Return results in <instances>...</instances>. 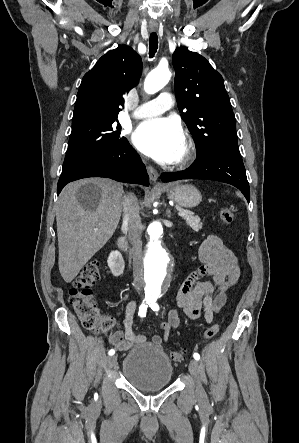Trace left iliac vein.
Instances as JSON below:
<instances>
[{
  "label": "left iliac vein",
  "mask_w": 299,
  "mask_h": 443,
  "mask_svg": "<svg viewBox=\"0 0 299 443\" xmlns=\"http://www.w3.org/2000/svg\"><path fill=\"white\" fill-rule=\"evenodd\" d=\"M189 371L196 381V388H197L198 393L203 395L204 390H203L201 382H200V368H199V364H198L197 360H195V359L190 360Z\"/></svg>",
  "instance_id": "4c4485c4"
}]
</instances>
